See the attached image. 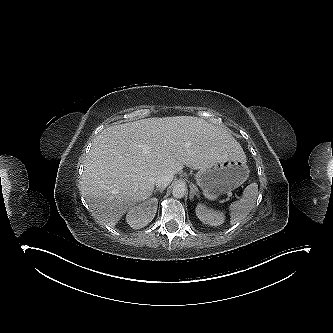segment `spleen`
I'll return each mask as SVG.
<instances>
[{
	"label": "spleen",
	"mask_w": 333,
	"mask_h": 333,
	"mask_svg": "<svg viewBox=\"0 0 333 333\" xmlns=\"http://www.w3.org/2000/svg\"><path fill=\"white\" fill-rule=\"evenodd\" d=\"M258 196L257 183L249 184L243 191L242 197L229 206L230 224L235 225L244 220L255 206Z\"/></svg>",
	"instance_id": "1"
}]
</instances>
